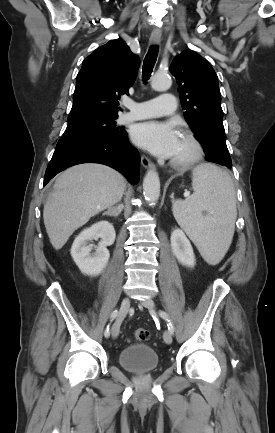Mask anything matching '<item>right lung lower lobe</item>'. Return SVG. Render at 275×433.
I'll return each mask as SVG.
<instances>
[{"label": "right lung lower lobe", "mask_w": 275, "mask_h": 433, "mask_svg": "<svg viewBox=\"0 0 275 433\" xmlns=\"http://www.w3.org/2000/svg\"><path fill=\"white\" fill-rule=\"evenodd\" d=\"M101 163L121 172L131 184L139 180L140 154L127 133L108 140H64L58 142L46 169L44 186L62 170L80 163Z\"/></svg>", "instance_id": "1"}]
</instances>
